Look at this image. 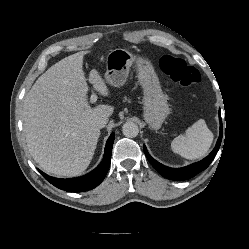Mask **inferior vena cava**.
Listing matches in <instances>:
<instances>
[{
  "instance_id": "602c4592",
  "label": "inferior vena cava",
  "mask_w": 249,
  "mask_h": 249,
  "mask_svg": "<svg viewBox=\"0 0 249 249\" xmlns=\"http://www.w3.org/2000/svg\"><path fill=\"white\" fill-rule=\"evenodd\" d=\"M108 122V118L107 117H100L96 120L95 124L98 128H103L105 127V125Z\"/></svg>"
}]
</instances>
